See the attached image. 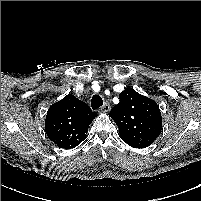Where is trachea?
<instances>
[{
	"label": "trachea",
	"instance_id": "trachea-1",
	"mask_svg": "<svg viewBox=\"0 0 201 201\" xmlns=\"http://www.w3.org/2000/svg\"><path fill=\"white\" fill-rule=\"evenodd\" d=\"M103 105V99L99 95H93L91 99V107L93 110L100 108Z\"/></svg>",
	"mask_w": 201,
	"mask_h": 201
}]
</instances>
